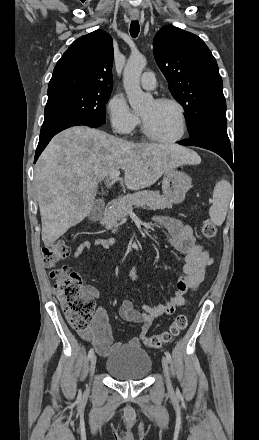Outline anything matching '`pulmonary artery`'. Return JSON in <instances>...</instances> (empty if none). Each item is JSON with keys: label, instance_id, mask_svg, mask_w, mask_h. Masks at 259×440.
I'll list each match as a JSON object with an SVG mask.
<instances>
[{"label": "pulmonary artery", "instance_id": "obj_1", "mask_svg": "<svg viewBox=\"0 0 259 440\" xmlns=\"http://www.w3.org/2000/svg\"><path fill=\"white\" fill-rule=\"evenodd\" d=\"M141 86L146 90H153L156 87V79L152 72L147 71L142 74Z\"/></svg>", "mask_w": 259, "mask_h": 440}]
</instances>
